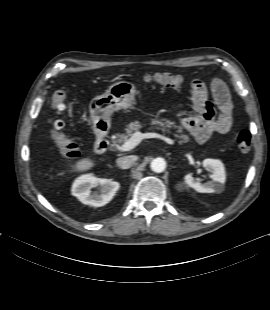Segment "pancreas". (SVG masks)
<instances>
[{
    "instance_id": "cf45deb5",
    "label": "pancreas",
    "mask_w": 270,
    "mask_h": 310,
    "mask_svg": "<svg viewBox=\"0 0 270 310\" xmlns=\"http://www.w3.org/2000/svg\"><path fill=\"white\" fill-rule=\"evenodd\" d=\"M152 127L155 129L160 130H167L169 131L172 128H177L178 134L175 136L181 139L182 143H187L190 138L182 133V128L180 126H176L174 122L168 120V119H153L151 122ZM143 127V124L139 121L131 122L127 125V128L125 129L126 133L124 134H117L116 140H114V145L119 146L121 143H125L127 140L130 139V137L133 135V132L138 131L140 128Z\"/></svg>"
}]
</instances>
